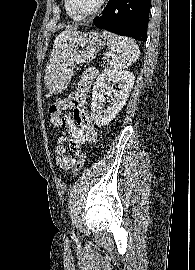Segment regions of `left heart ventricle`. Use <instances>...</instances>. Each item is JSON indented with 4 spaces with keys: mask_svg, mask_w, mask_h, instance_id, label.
<instances>
[{
    "mask_svg": "<svg viewBox=\"0 0 195 270\" xmlns=\"http://www.w3.org/2000/svg\"><path fill=\"white\" fill-rule=\"evenodd\" d=\"M100 0H71L73 10L78 14H86L93 10Z\"/></svg>",
    "mask_w": 195,
    "mask_h": 270,
    "instance_id": "left-heart-ventricle-1",
    "label": "left heart ventricle"
}]
</instances>
